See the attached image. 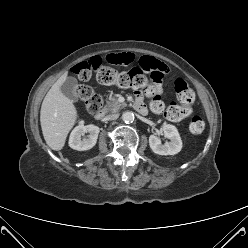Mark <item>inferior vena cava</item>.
<instances>
[{"instance_id": "1", "label": "inferior vena cava", "mask_w": 248, "mask_h": 248, "mask_svg": "<svg viewBox=\"0 0 248 248\" xmlns=\"http://www.w3.org/2000/svg\"><path fill=\"white\" fill-rule=\"evenodd\" d=\"M119 117L118 114H110V115H107L104 119L109 121V120H115Z\"/></svg>"}]
</instances>
